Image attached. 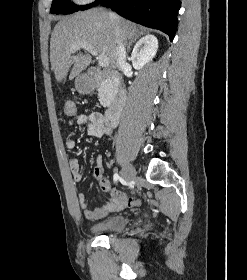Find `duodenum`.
<instances>
[{"label":"duodenum","instance_id":"obj_1","mask_svg":"<svg viewBox=\"0 0 247 280\" xmlns=\"http://www.w3.org/2000/svg\"><path fill=\"white\" fill-rule=\"evenodd\" d=\"M107 77L113 83L117 84L120 77L116 73L105 74L97 68H90L86 74V88L93 90L97 87L102 78ZM125 103V91L120 87L116 90L113 101L105 112V121L108 126H116L121 117Z\"/></svg>","mask_w":247,"mask_h":280}]
</instances>
